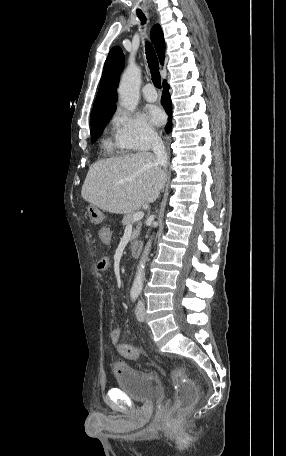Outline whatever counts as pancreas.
Wrapping results in <instances>:
<instances>
[{
	"label": "pancreas",
	"mask_w": 286,
	"mask_h": 456,
	"mask_svg": "<svg viewBox=\"0 0 286 456\" xmlns=\"http://www.w3.org/2000/svg\"><path fill=\"white\" fill-rule=\"evenodd\" d=\"M135 214V212H131V213H128L124 216L123 220H122V224L123 226H126L128 224H131L133 222V215ZM140 230H141V222L138 221L136 223V228L133 230L132 232V235H131V241L135 240L138 238V236L140 235Z\"/></svg>",
	"instance_id": "pancreas-1"
}]
</instances>
